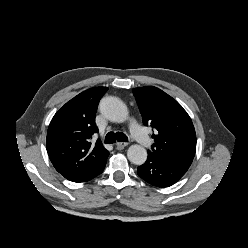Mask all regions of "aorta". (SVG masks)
Wrapping results in <instances>:
<instances>
[{
    "label": "aorta",
    "instance_id": "aorta-1",
    "mask_svg": "<svg viewBox=\"0 0 248 248\" xmlns=\"http://www.w3.org/2000/svg\"><path fill=\"white\" fill-rule=\"evenodd\" d=\"M100 112L110 121L122 123L128 118V109L122 100L114 96L104 97L99 104ZM127 157L136 165H142L147 159L144 147L134 144L128 148Z\"/></svg>",
    "mask_w": 248,
    "mask_h": 248
}]
</instances>
